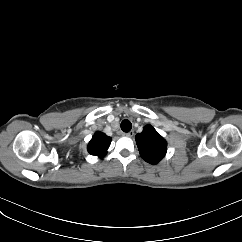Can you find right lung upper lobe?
I'll list each match as a JSON object with an SVG mask.
<instances>
[{
  "label": "right lung upper lobe",
  "mask_w": 242,
  "mask_h": 242,
  "mask_svg": "<svg viewBox=\"0 0 242 242\" xmlns=\"http://www.w3.org/2000/svg\"><path fill=\"white\" fill-rule=\"evenodd\" d=\"M111 143V138L106 134L97 131L88 144V152L99 157L105 156Z\"/></svg>",
  "instance_id": "cb5924a9"
}]
</instances>
